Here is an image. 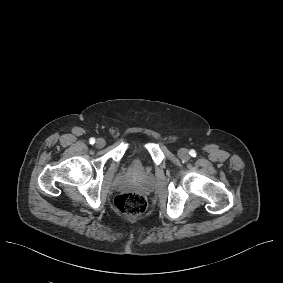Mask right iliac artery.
I'll use <instances>...</instances> for the list:
<instances>
[{
    "mask_svg": "<svg viewBox=\"0 0 283 283\" xmlns=\"http://www.w3.org/2000/svg\"><path fill=\"white\" fill-rule=\"evenodd\" d=\"M89 142H90V144L93 145L95 143V139L94 138H90Z\"/></svg>",
    "mask_w": 283,
    "mask_h": 283,
    "instance_id": "1",
    "label": "right iliac artery"
}]
</instances>
